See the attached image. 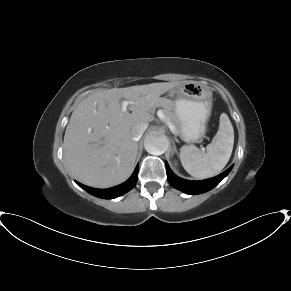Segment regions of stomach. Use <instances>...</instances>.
<instances>
[{
    "label": "stomach",
    "instance_id": "1",
    "mask_svg": "<svg viewBox=\"0 0 291 291\" xmlns=\"http://www.w3.org/2000/svg\"><path fill=\"white\" fill-rule=\"evenodd\" d=\"M174 112L179 120L182 139L188 143L199 141L206 132L212 111V91L204 85L188 81L170 92Z\"/></svg>",
    "mask_w": 291,
    "mask_h": 291
}]
</instances>
